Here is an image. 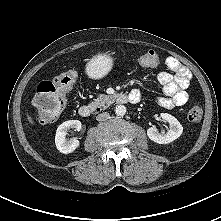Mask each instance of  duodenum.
Masks as SVG:
<instances>
[{"label":"duodenum","mask_w":221,"mask_h":221,"mask_svg":"<svg viewBox=\"0 0 221 221\" xmlns=\"http://www.w3.org/2000/svg\"><path fill=\"white\" fill-rule=\"evenodd\" d=\"M116 101L119 104H125L128 102H138L139 99L135 95L120 94V95H118ZM96 111H100V109L96 108L92 105H83L79 108V115L81 117L86 118V117H89L90 115H92Z\"/></svg>","instance_id":"1"}]
</instances>
